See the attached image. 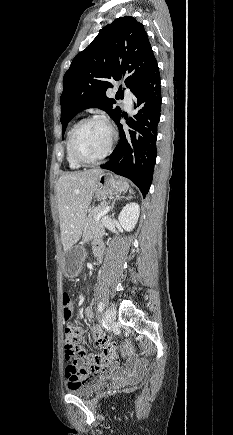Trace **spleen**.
<instances>
[{
  "mask_svg": "<svg viewBox=\"0 0 233 435\" xmlns=\"http://www.w3.org/2000/svg\"><path fill=\"white\" fill-rule=\"evenodd\" d=\"M129 192H130V193H133V190H132V189H130V190H129Z\"/></svg>",
  "mask_w": 233,
  "mask_h": 435,
  "instance_id": "spleen-1",
  "label": "spleen"
}]
</instances>
